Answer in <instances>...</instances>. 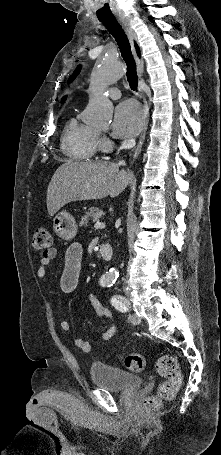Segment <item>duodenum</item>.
Listing matches in <instances>:
<instances>
[{
    "label": "duodenum",
    "instance_id": "410a0bca",
    "mask_svg": "<svg viewBox=\"0 0 221 455\" xmlns=\"http://www.w3.org/2000/svg\"><path fill=\"white\" fill-rule=\"evenodd\" d=\"M99 253L104 259H111L113 255L112 246L110 244H102L99 248Z\"/></svg>",
    "mask_w": 221,
    "mask_h": 455
}]
</instances>
